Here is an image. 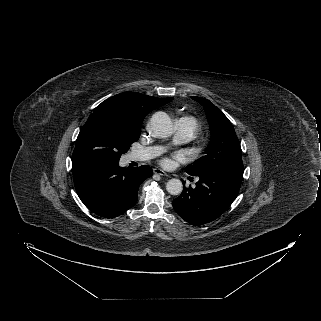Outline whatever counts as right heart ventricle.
<instances>
[{"label":"right heart ventricle","instance_id":"obj_1","mask_svg":"<svg viewBox=\"0 0 321 321\" xmlns=\"http://www.w3.org/2000/svg\"><path fill=\"white\" fill-rule=\"evenodd\" d=\"M185 118H188V119L192 120L196 124V120H195L194 117H185Z\"/></svg>","mask_w":321,"mask_h":321}]
</instances>
